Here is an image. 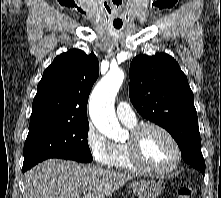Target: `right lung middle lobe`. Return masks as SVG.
I'll use <instances>...</instances> for the list:
<instances>
[{"mask_svg": "<svg viewBox=\"0 0 221 198\" xmlns=\"http://www.w3.org/2000/svg\"><path fill=\"white\" fill-rule=\"evenodd\" d=\"M88 128V121L41 120L30 123L23 150V169L50 158L91 162Z\"/></svg>", "mask_w": 221, "mask_h": 198, "instance_id": "dd1d6c3e", "label": "right lung middle lobe"}]
</instances>
